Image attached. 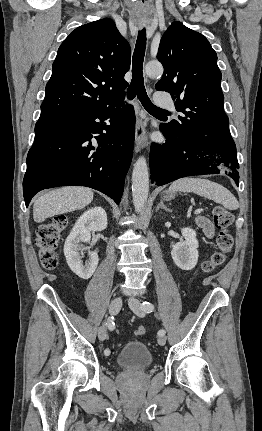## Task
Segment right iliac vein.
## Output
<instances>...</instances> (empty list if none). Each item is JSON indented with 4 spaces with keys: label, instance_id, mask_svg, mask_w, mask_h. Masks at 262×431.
<instances>
[{
    "label": "right iliac vein",
    "instance_id": "obj_1",
    "mask_svg": "<svg viewBox=\"0 0 262 431\" xmlns=\"http://www.w3.org/2000/svg\"><path fill=\"white\" fill-rule=\"evenodd\" d=\"M122 306V297L118 296L115 297L109 305V312L112 315H115L116 313L119 312L120 308ZM98 337L101 341L105 340L107 337V332H106V328L104 326H101L98 330Z\"/></svg>",
    "mask_w": 262,
    "mask_h": 431
}]
</instances>
